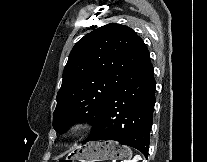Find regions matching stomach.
I'll list each match as a JSON object with an SVG mask.
<instances>
[{"label": "stomach", "instance_id": "obj_1", "mask_svg": "<svg viewBox=\"0 0 207 162\" xmlns=\"http://www.w3.org/2000/svg\"><path fill=\"white\" fill-rule=\"evenodd\" d=\"M131 157V150L127 146L117 142H91L77 148L71 157L66 160H78L79 162H100L106 160H123Z\"/></svg>", "mask_w": 207, "mask_h": 162}]
</instances>
